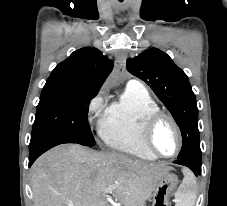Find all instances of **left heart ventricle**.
Wrapping results in <instances>:
<instances>
[{
	"instance_id": "1",
	"label": "left heart ventricle",
	"mask_w": 227,
	"mask_h": 206,
	"mask_svg": "<svg viewBox=\"0 0 227 206\" xmlns=\"http://www.w3.org/2000/svg\"><path fill=\"white\" fill-rule=\"evenodd\" d=\"M153 144L155 148L164 155H171L177 147V136L172 125L162 120L153 132Z\"/></svg>"
}]
</instances>
